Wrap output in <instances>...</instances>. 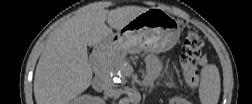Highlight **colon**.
<instances>
[{"label": "colon", "instance_id": "obj_1", "mask_svg": "<svg viewBox=\"0 0 252 104\" xmlns=\"http://www.w3.org/2000/svg\"><path fill=\"white\" fill-rule=\"evenodd\" d=\"M202 47L203 40L200 35L190 27L185 28L181 65L186 82L191 87H197L199 85L200 77L197 65L208 62L206 57L201 56Z\"/></svg>", "mask_w": 252, "mask_h": 104}]
</instances>
